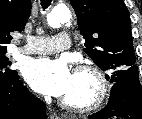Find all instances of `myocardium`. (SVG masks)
<instances>
[{
  "label": "myocardium",
  "instance_id": "obj_1",
  "mask_svg": "<svg viewBox=\"0 0 142 119\" xmlns=\"http://www.w3.org/2000/svg\"><path fill=\"white\" fill-rule=\"evenodd\" d=\"M74 73L90 75L96 83L95 92L87 103L78 104L62 98L60 100L61 106L78 113H88L99 109L105 103L110 89L105 72L94 64H80L75 67Z\"/></svg>",
  "mask_w": 142,
  "mask_h": 119
}]
</instances>
